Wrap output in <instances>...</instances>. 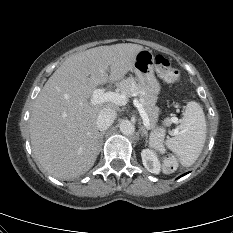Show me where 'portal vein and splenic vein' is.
Masks as SVG:
<instances>
[{"label": "portal vein and splenic vein", "mask_w": 233, "mask_h": 233, "mask_svg": "<svg viewBox=\"0 0 233 233\" xmlns=\"http://www.w3.org/2000/svg\"><path fill=\"white\" fill-rule=\"evenodd\" d=\"M136 92H132L131 96H136ZM128 101V96H126L124 93H115L111 91H106L105 89H95L93 91V95L91 98V103L93 105L105 103V102H111L116 105H126ZM134 105L138 109L140 116L143 119V124L147 129H150V122L149 118L142 106V104L138 100H134ZM172 122L178 123L177 119H172Z\"/></svg>", "instance_id": "18ae733b"}]
</instances>
